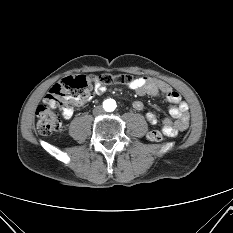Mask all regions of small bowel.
<instances>
[{
	"label": "small bowel",
	"mask_w": 233,
	"mask_h": 233,
	"mask_svg": "<svg viewBox=\"0 0 233 233\" xmlns=\"http://www.w3.org/2000/svg\"><path fill=\"white\" fill-rule=\"evenodd\" d=\"M128 88L134 91L139 96H163L168 102L172 104L169 109V114L173 119L168 117L162 120V131L168 137H175L180 132L187 129L189 125V111L188 105L182 100L178 92H176L166 82L155 77H138ZM106 91V86L96 82L93 87V95H100ZM90 97L87 101L77 103V106H84L91 100ZM133 107L136 110L143 109V103L135 101ZM62 116L65 119H70L73 116V109L71 107H64L60 109ZM146 119L149 124H158V118L153 112L146 114Z\"/></svg>",
	"instance_id": "small-bowel-1"
}]
</instances>
